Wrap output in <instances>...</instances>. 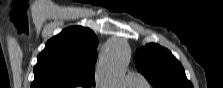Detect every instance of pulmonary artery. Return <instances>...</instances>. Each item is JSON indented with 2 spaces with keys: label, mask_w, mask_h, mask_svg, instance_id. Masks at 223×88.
<instances>
[{
  "label": "pulmonary artery",
  "mask_w": 223,
  "mask_h": 88,
  "mask_svg": "<svg viewBox=\"0 0 223 88\" xmlns=\"http://www.w3.org/2000/svg\"><path fill=\"white\" fill-rule=\"evenodd\" d=\"M124 84L131 88H138L146 86L147 82L140 73L129 72L124 80Z\"/></svg>",
  "instance_id": "e3ab8cb5"
}]
</instances>
